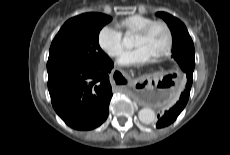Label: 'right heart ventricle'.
Instances as JSON below:
<instances>
[{"label": "right heart ventricle", "instance_id": "e07e8e85", "mask_svg": "<svg viewBox=\"0 0 230 155\" xmlns=\"http://www.w3.org/2000/svg\"><path fill=\"white\" fill-rule=\"evenodd\" d=\"M154 20L150 17L141 16V15H133L127 17L117 23V26L125 33V34H135L142 28H144L149 23Z\"/></svg>", "mask_w": 230, "mask_h": 155}]
</instances>
